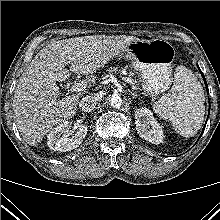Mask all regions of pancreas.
<instances>
[{"label": "pancreas", "instance_id": "1", "mask_svg": "<svg viewBox=\"0 0 220 220\" xmlns=\"http://www.w3.org/2000/svg\"><path fill=\"white\" fill-rule=\"evenodd\" d=\"M117 70H118V68H115V67H114V68H110L108 71H109V72H114V71H117Z\"/></svg>", "mask_w": 220, "mask_h": 220}]
</instances>
